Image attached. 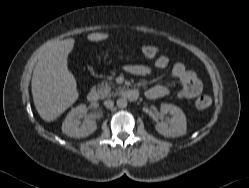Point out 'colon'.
I'll return each instance as SVG.
<instances>
[{"mask_svg":"<svg viewBox=\"0 0 249 188\" xmlns=\"http://www.w3.org/2000/svg\"><path fill=\"white\" fill-rule=\"evenodd\" d=\"M158 53V48L155 45L149 44L142 47V54L147 58H152ZM211 105L209 96H200L196 101V106L199 109H206Z\"/></svg>","mask_w":249,"mask_h":188,"instance_id":"5ec220e1","label":"colon"}]
</instances>
